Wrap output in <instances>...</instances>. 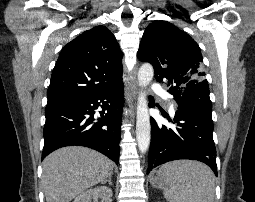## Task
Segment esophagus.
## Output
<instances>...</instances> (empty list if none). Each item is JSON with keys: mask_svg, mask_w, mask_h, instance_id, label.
<instances>
[{"mask_svg": "<svg viewBox=\"0 0 255 202\" xmlns=\"http://www.w3.org/2000/svg\"><path fill=\"white\" fill-rule=\"evenodd\" d=\"M131 81H132V83H131V94H132V97L135 99V97L137 95V91H138L135 72L132 73Z\"/></svg>", "mask_w": 255, "mask_h": 202, "instance_id": "esophagus-1", "label": "esophagus"}]
</instances>
